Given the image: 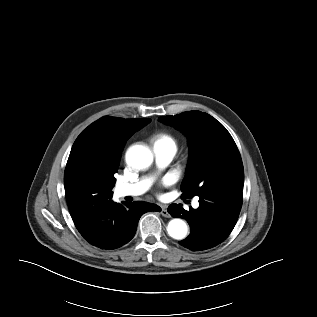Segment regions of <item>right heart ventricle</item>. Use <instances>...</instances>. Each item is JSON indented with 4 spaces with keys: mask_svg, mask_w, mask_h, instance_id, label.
I'll use <instances>...</instances> for the list:
<instances>
[{
    "mask_svg": "<svg viewBox=\"0 0 317 317\" xmlns=\"http://www.w3.org/2000/svg\"><path fill=\"white\" fill-rule=\"evenodd\" d=\"M154 145L162 146V147H170L176 150V140L173 136L167 133L157 134L153 138Z\"/></svg>",
    "mask_w": 317,
    "mask_h": 317,
    "instance_id": "obj_1",
    "label": "right heart ventricle"
}]
</instances>
